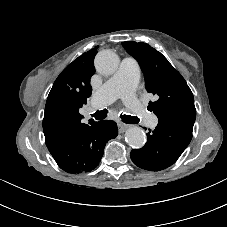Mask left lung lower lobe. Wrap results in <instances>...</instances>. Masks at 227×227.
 <instances>
[{"label": "left lung lower lobe", "mask_w": 227, "mask_h": 227, "mask_svg": "<svg viewBox=\"0 0 227 227\" xmlns=\"http://www.w3.org/2000/svg\"><path fill=\"white\" fill-rule=\"evenodd\" d=\"M192 139V133L178 127L158 122L147 133V143L131 151V159L138 167L159 171L174 164Z\"/></svg>", "instance_id": "1"}]
</instances>
